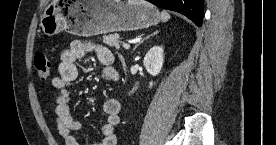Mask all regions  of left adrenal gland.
<instances>
[{"mask_svg": "<svg viewBox=\"0 0 276 145\" xmlns=\"http://www.w3.org/2000/svg\"><path fill=\"white\" fill-rule=\"evenodd\" d=\"M159 31H154L151 35L146 36L144 39H142L138 44L135 45L134 49L135 50L140 44H142L145 40L149 39L151 36L157 35Z\"/></svg>", "mask_w": 276, "mask_h": 145, "instance_id": "obj_1", "label": "left adrenal gland"}]
</instances>
